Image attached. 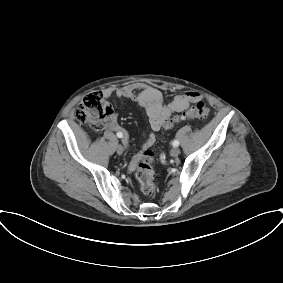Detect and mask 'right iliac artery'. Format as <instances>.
<instances>
[{
    "label": "right iliac artery",
    "instance_id": "right-iliac-artery-1",
    "mask_svg": "<svg viewBox=\"0 0 283 283\" xmlns=\"http://www.w3.org/2000/svg\"><path fill=\"white\" fill-rule=\"evenodd\" d=\"M117 137H118V138H122V137H123V134H122L121 132H118V133H117Z\"/></svg>",
    "mask_w": 283,
    "mask_h": 283
}]
</instances>
